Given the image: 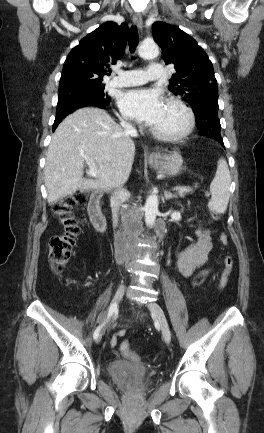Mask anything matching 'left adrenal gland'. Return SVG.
I'll use <instances>...</instances> for the list:
<instances>
[{"label":"left adrenal gland","mask_w":264,"mask_h":433,"mask_svg":"<svg viewBox=\"0 0 264 433\" xmlns=\"http://www.w3.org/2000/svg\"><path fill=\"white\" fill-rule=\"evenodd\" d=\"M164 197H165L166 200H169V199L177 198V195L173 194L171 192H168L167 190H165L164 191Z\"/></svg>","instance_id":"1"}]
</instances>
